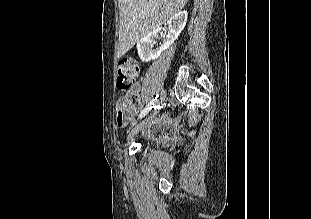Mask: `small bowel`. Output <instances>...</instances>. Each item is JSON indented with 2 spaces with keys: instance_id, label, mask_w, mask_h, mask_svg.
Listing matches in <instances>:
<instances>
[{
  "instance_id": "1",
  "label": "small bowel",
  "mask_w": 311,
  "mask_h": 219,
  "mask_svg": "<svg viewBox=\"0 0 311 219\" xmlns=\"http://www.w3.org/2000/svg\"><path fill=\"white\" fill-rule=\"evenodd\" d=\"M138 89H139V85H136V90ZM138 111H139L138 105L132 103L129 106H125L119 100L117 103V108H116L117 126L120 128L126 127L133 120V118L137 115ZM123 112H126L125 116L123 115ZM152 126H158L159 132H164L165 131L164 129H167L165 121L155 120L152 122Z\"/></svg>"
}]
</instances>
